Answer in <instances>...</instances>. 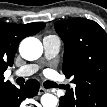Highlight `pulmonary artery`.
Masks as SVG:
<instances>
[{
    "label": "pulmonary artery",
    "mask_w": 107,
    "mask_h": 107,
    "mask_svg": "<svg viewBox=\"0 0 107 107\" xmlns=\"http://www.w3.org/2000/svg\"><path fill=\"white\" fill-rule=\"evenodd\" d=\"M60 39L57 36L49 35L43 39L44 54L47 59H52L57 56L60 50ZM38 70V66L28 64L20 67L15 71V76L27 77L34 74Z\"/></svg>",
    "instance_id": "e3ab8cb5"
}]
</instances>
